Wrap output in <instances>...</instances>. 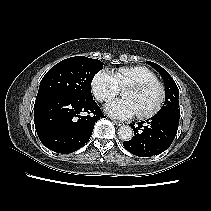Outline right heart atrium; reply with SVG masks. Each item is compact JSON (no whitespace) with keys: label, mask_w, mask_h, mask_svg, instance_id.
<instances>
[{"label":"right heart atrium","mask_w":211,"mask_h":211,"mask_svg":"<svg viewBox=\"0 0 211 211\" xmlns=\"http://www.w3.org/2000/svg\"><path fill=\"white\" fill-rule=\"evenodd\" d=\"M91 91L99 102H109L118 95L120 87L113 73L102 69L93 76Z\"/></svg>","instance_id":"obj_1"}]
</instances>
